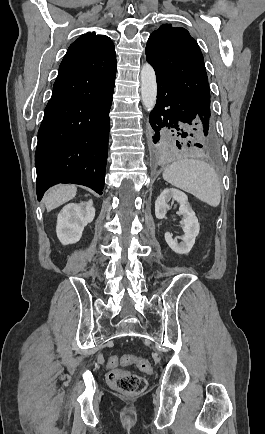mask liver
Instances as JSON below:
<instances>
[{
	"instance_id": "1",
	"label": "liver",
	"mask_w": 265,
	"mask_h": 434,
	"mask_svg": "<svg viewBox=\"0 0 265 434\" xmlns=\"http://www.w3.org/2000/svg\"><path fill=\"white\" fill-rule=\"evenodd\" d=\"M77 192L76 186H64V184H59L55 188H50L45 194L44 204L46 206L47 212L55 210L58 206L66 204L72 198H75Z\"/></svg>"
}]
</instances>
